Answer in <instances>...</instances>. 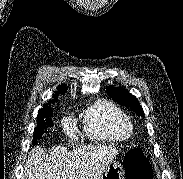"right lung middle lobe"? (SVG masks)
<instances>
[{
	"label": "right lung middle lobe",
	"instance_id": "obj_1",
	"mask_svg": "<svg viewBox=\"0 0 183 179\" xmlns=\"http://www.w3.org/2000/svg\"><path fill=\"white\" fill-rule=\"evenodd\" d=\"M52 115V109L50 106H44L39 110L37 116V127L35 128V133L33 136V145L37 143V140L42 137L44 129L48 126L51 127L53 125L52 120L49 118Z\"/></svg>",
	"mask_w": 183,
	"mask_h": 179
}]
</instances>
